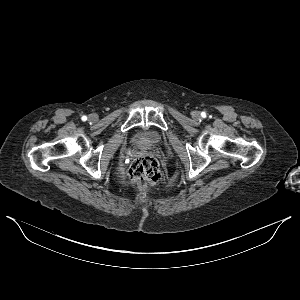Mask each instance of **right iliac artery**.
I'll list each match as a JSON object with an SVG mask.
<instances>
[{
    "label": "right iliac artery",
    "instance_id": "82829eb1",
    "mask_svg": "<svg viewBox=\"0 0 300 300\" xmlns=\"http://www.w3.org/2000/svg\"><path fill=\"white\" fill-rule=\"evenodd\" d=\"M83 121H86L87 120V117L86 116H82L81 118Z\"/></svg>",
    "mask_w": 300,
    "mask_h": 300
}]
</instances>
